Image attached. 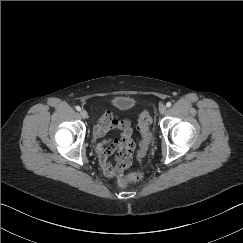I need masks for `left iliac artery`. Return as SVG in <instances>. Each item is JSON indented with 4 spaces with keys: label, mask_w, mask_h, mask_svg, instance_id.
Wrapping results in <instances>:
<instances>
[{
    "label": "left iliac artery",
    "mask_w": 243,
    "mask_h": 243,
    "mask_svg": "<svg viewBox=\"0 0 243 243\" xmlns=\"http://www.w3.org/2000/svg\"><path fill=\"white\" fill-rule=\"evenodd\" d=\"M171 105H172L171 102H167V103H166V106H167L168 108L171 107Z\"/></svg>",
    "instance_id": "obj_1"
}]
</instances>
